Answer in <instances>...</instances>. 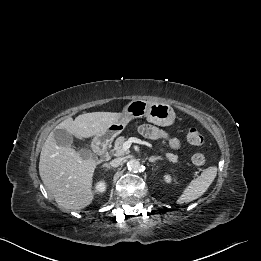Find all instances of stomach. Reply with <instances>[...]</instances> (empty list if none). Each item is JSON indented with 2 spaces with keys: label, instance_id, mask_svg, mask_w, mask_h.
I'll list each match as a JSON object with an SVG mask.
<instances>
[{
  "label": "stomach",
  "instance_id": "1",
  "mask_svg": "<svg viewBox=\"0 0 261 261\" xmlns=\"http://www.w3.org/2000/svg\"><path fill=\"white\" fill-rule=\"evenodd\" d=\"M141 117H146L148 122L158 126H169L175 120V112L169 104L164 102L132 100L125 106L122 117L108 127L105 135L96 137L95 140L110 141L120 134L132 119Z\"/></svg>",
  "mask_w": 261,
  "mask_h": 261
}]
</instances>
